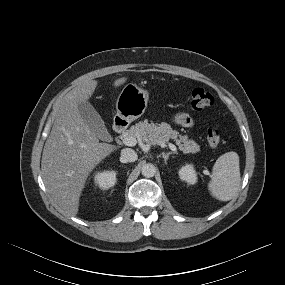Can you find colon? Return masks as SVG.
Returning <instances> with one entry per match:
<instances>
[{
    "label": "colon",
    "mask_w": 285,
    "mask_h": 285,
    "mask_svg": "<svg viewBox=\"0 0 285 285\" xmlns=\"http://www.w3.org/2000/svg\"><path fill=\"white\" fill-rule=\"evenodd\" d=\"M214 103V97L202 88H196L191 94V106L195 110H203ZM221 130L217 127H210L207 130V142L211 147H216L221 141Z\"/></svg>",
    "instance_id": "colon-1"
}]
</instances>
